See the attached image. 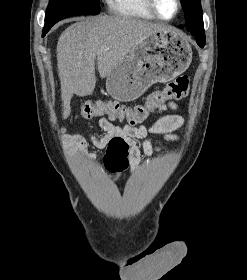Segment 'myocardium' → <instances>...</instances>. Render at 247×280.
<instances>
[{
    "mask_svg": "<svg viewBox=\"0 0 247 280\" xmlns=\"http://www.w3.org/2000/svg\"><path fill=\"white\" fill-rule=\"evenodd\" d=\"M175 1H176V6H177L176 12L173 15V17H171V18H164L158 13L156 6H155V0H146V3L148 6V9L154 15L155 18L162 20V21L169 22V21L174 20L178 16V14L180 13V10H181V0H175Z\"/></svg>",
    "mask_w": 247,
    "mask_h": 280,
    "instance_id": "1",
    "label": "myocardium"
}]
</instances>
